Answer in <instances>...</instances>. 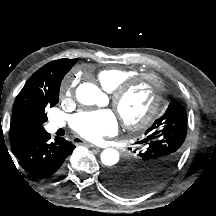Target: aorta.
Here are the masks:
<instances>
[{
	"label": "aorta",
	"instance_id": "aorta-1",
	"mask_svg": "<svg viewBox=\"0 0 216 216\" xmlns=\"http://www.w3.org/2000/svg\"><path fill=\"white\" fill-rule=\"evenodd\" d=\"M78 101L84 105L97 104L103 97L100 89L92 83H82L76 89ZM101 162L107 167H112L119 162V153L114 148H107L101 153Z\"/></svg>",
	"mask_w": 216,
	"mask_h": 216
}]
</instances>
